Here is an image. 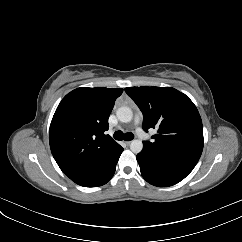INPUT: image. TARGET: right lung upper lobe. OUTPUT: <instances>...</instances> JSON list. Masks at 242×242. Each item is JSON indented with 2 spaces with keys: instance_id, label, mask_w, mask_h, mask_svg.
Returning <instances> with one entry per match:
<instances>
[{
  "instance_id": "obj_1",
  "label": "right lung upper lobe",
  "mask_w": 242,
  "mask_h": 242,
  "mask_svg": "<svg viewBox=\"0 0 242 242\" xmlns=\"http://www.w3.org/2000/svg\"><path fill=\"white\" fill-rule=\"evenodd\" d=\"M122 88H77L58 105L51 121L49 143L58 166L68 177L117 143L105 135L108 118Z\"/></svg>"
}]
</instances>
